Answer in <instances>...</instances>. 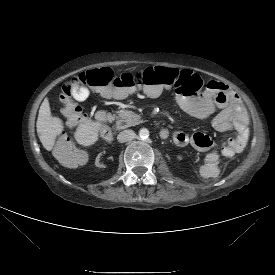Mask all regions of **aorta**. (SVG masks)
<instances>
[{
	"label": "aorta",
	"mask_w": 275,
	"mask_h": 275,
	"mask_svg": "<svg viewBox=\"0 0 275 275\" xmlns=\"http://www.w3.org/2000/svg\"><path fill=\"white\" fill-rule=\"evenodd\" d=\"M139 136H140L141 138H143V139L148 138V136H149V131H148V129H146V128L140 129V131H139Z\"/></svg>",
	"instance_id": "762f6f07"
}]
</instances>
